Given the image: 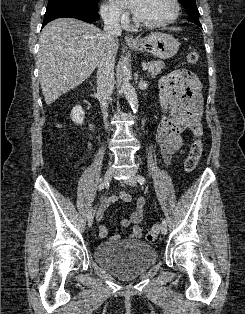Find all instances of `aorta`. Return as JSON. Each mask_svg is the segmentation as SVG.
I'll use <instances>...</instances> for the list:
<instances>
[{
  "instance_id": "obj_1",
  "label": "aorta",
  "mask_w": 245,
  "mask_h": 314,
  "mask_svg": "<svg viewBox=\"0 0 245 314\" xmlns=\"http://www.w3.org/2000/svg\"><path fill=\"white\" fill-rule=\"evenodd\" d=\"M120 82H121V89L126 97V100L131 106L133 112L136 113L139 107L138 97H137L135 89L130 84L129 79L125 76L124 69H122V73L120 74Z\"/></svg>"
}]
</instances>
